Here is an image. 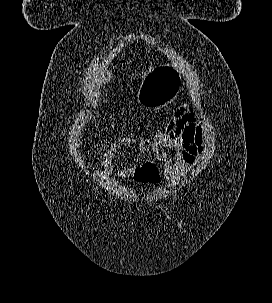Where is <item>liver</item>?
I'll use <instances>...</instances> for the list:
<instances>
[{
  "instance_id": "1",
  "label": "liver",
  "mask_w": 272,
  "mask_h": 303,
  "mask_svg": "<svg viewBox=\"0 0 272 303\" xmlns=\"http://www.w3.org/2000/svg\"><path fill=\"white\" fill-rule=\"evenodd\" d=\"M153 67L151 66L148 70V72L152 71ZM147 73L142 72V78L146 77ZM113 78V74L111 72H107L106 77H104L105 82H109Z\"/></svg>"
}]
</instances>
